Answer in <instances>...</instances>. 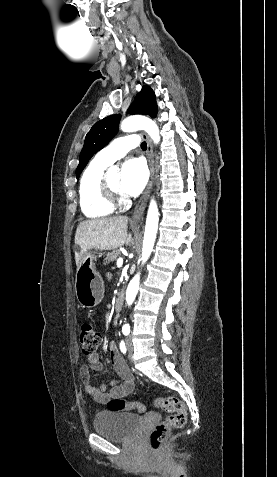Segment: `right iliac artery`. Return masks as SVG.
<instances>
[{
	"label": "right iliac artery",
	"instance_id": "82829eb1",
	"mask_svg": "<svg viewBox=\"0 0 277 477\" xmlns=\"http://www.w3.org/2000/svg\"><path fill=\"white\" fill-rule=\"evenodd\" d=\"M120 349H121V351H122L123 353L126 352L125 344H124L123 341L120 343Z\"/></svg>",
	"mask_w": 277,
	"mask_h": 477
}]
</instances>
